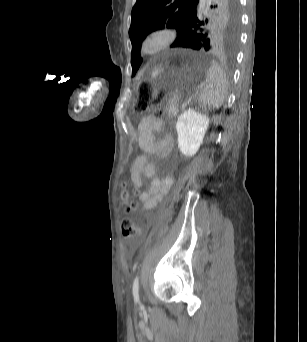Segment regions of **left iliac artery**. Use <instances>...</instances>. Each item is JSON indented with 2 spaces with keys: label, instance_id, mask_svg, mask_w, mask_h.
<instances>
[{
  "label": "left iliac artery",
  "instance_id": "obj_1",
  "mask_svg": "<svg viewBox=\"0 0 307 342\" xmlns=\"http://www.w3.org/2000/svg\"><path fill=\"white\" fill-rule=\"evenodd\" d=\"M132 291H133L134 301L139 303L140 299H139V276L138 275L134 279Z\"/></svg>",
  "mask_w": 307,
  "mask_h": 342
}]
</instances>
